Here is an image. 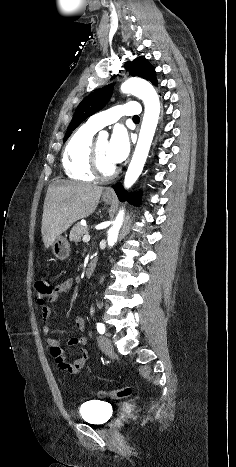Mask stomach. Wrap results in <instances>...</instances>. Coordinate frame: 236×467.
<instances>
[{"mask_svg": "<svg viewBox=\"0 0 236 467\" xmlns=\"http://www.w3.org/2000/svg\"><path fill=\"white\" fill-rule=\"evenodd\" d=\"M103 201L106 204L113 202L112 197L103 196ZM54 256L60 260H65L70 254V244L68 240L63 236H58L50 246Z\"/></svg>", "mask_w": 236, "mask_h": 467, "instance_id": "1", "label": "stomach"}]
</instances>
